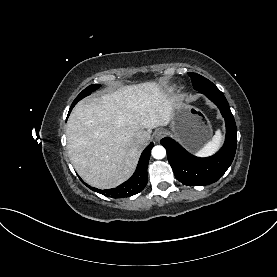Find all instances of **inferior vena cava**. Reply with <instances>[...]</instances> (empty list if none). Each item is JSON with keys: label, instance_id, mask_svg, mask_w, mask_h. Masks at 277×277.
I'll return each instance as SVG.
<instances>
[{"label": "inferior vena cava", "instance_id": "602c4592", "mask_svg": "<svg viewBox=\"0 0 277 277\" xmlns=\"http://www.w3.org/2000/svg\"><path fill=\"white\" fill-rule=\"evenodd\" d=\"M150 138V135L146 131H138L135 134V141L139 144L146 143Z\"/></svg>", "mask_w": 277, "mask_h": 277}]
</instances>
